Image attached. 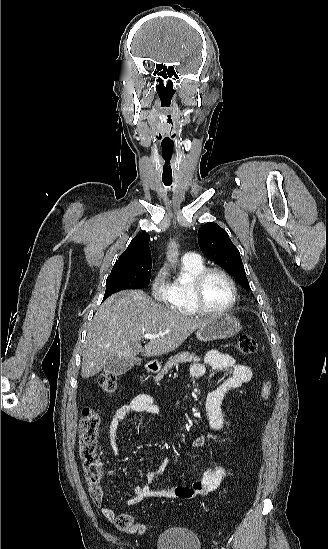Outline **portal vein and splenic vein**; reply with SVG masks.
I'll use <instances>...</instances> for the list:
<instances>
[{"instance_id":"obj_1","label":"portal vein and splenic vein","mask_w":328,"mask_h":549,"mask_svg":"<svg viewBox=\"0 0 328 549\" xmlns=\"http://www.w3.org/2000/svg\"><path fill=\"white\" fill-rule=\"evenodd\" d=\"M161 335H165V333H159V335H148L147 333V335H143V339H156V337H161Z\"/></svg>"}]
</instances>
